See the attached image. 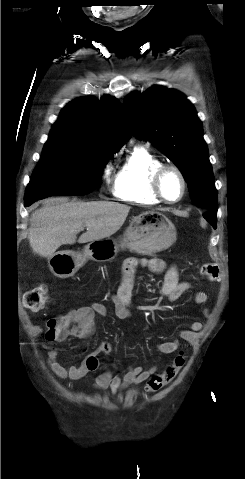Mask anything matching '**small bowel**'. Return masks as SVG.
Instances as JSON below:
<instances>
[{"label":"small bowel","instance_id":"small-bowel-1","mask_svg":"<svg viewBox=\"0 0 245 479\" xmlns=\"http://www.w3.org/2000/svg\"><path fill=\"white\" fill-rule=\"evenodd\" d=\"M138 266H145L154 272H163L164 281L159 289V294L169 301H175L184 293L192 289V283L189 281H181L175 266L167 267L161 259L141 260L138 258H128L122 268V278L117 290L111 295L110 301L114 308L116 317L120 319L132 316V290L134 284L135 272ZM208 296L205 292H196L194 295L195 303L199 305L206 304ZM108 307L101 303H93L89 306L80 307L69 311L63 318L70 324L68 336L80 341L86 340V335L90 333L94 327V317L108 316ZM203 314L206 318L210 317L208 308H204ZM47 326H51V320ZM203 324L195 321L189 329L182 330L179 338H173L157 344V350L162 354H171L176 352L180 347V339L186 342H192L196 333L201 331ZM53 341V340H50ZM112 344L109 342L100 343L99 347L88 353L79 365H63L58 361V348L50 346L47 353V362L54 374L60 379L79 380L90 373L99 371L101 354H110L112 352ZM87 347L84 346L83 352ZM156 367L144 369L141 366H129L126 373L120 377L110 372H100L95 378L94 388L96 390L110 389L113 394L119 393L126 388L146 382L154 373Z\"/></svg>","mask_w":245,"mask_h":479}]
</instances>
